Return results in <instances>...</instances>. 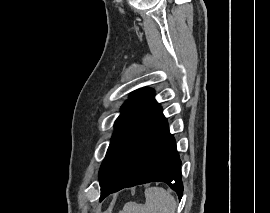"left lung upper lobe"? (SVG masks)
<instances>
[{
    "mask_svg": "<svg viewBox=\"0 0 270 213\" xmlns=\"http://www.w3.org/2000/svg\"><path fill=\"white\" fill-rule=\"evenodd\" d=\"M159 107L151 89H139L132 93L131 98L123 105L121 115L115 121L116 128L100 167V182L128 139L141 123Z\"/></svg>",
    "mask_w": 270,
    "mask_h": 213,
    "instance_id": "obj_1",
    "label": "left lung upper lobe"
}]
</instances>
